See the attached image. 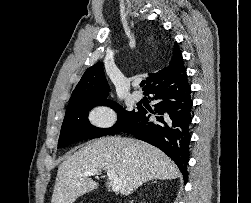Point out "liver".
I'll list each match as a JSON object with an SVG mask.
<instances>
[{
    "mask_svg": "<svg viewBox=\"0 0 251 203\" xmlns=\"http://www.w3.org/2000/svg\"><path fill=\"white\" fill-rule=\"evenodd\" d=\"M93 169L113 170L121 181L119 191L126 196L149 180H171L179 175L172 160L156 147L132 138L104 137L60 164L51 203H74L97 189V182L83 176Z\"/></svg>",
    "mask_w": 251,
    "mask_h": 203,
    "instance_id": "6515ba94",
    "label": "liver"
}]
</instances>
